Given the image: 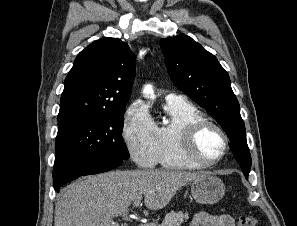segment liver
Listing matches in <instances>:
<instances>
[{
	"label": "liver",
	"instance_id": "6515ba94",
	"mask_svg": "<svg viewBox=\"0 0 297 226\" xmlns=\"http://www.w3.org/2000/svg\"><path fill=\"white\" fill-rule=\"evenodd\" d=\"M206 173L168 170L110 171L79 179L62 190L54 226H119L131 203L144 195L148 209L164 208L178 189Z\"/></svg>",
	"mask_w": 297,
	"mask_h": 226
}]
</instances>
